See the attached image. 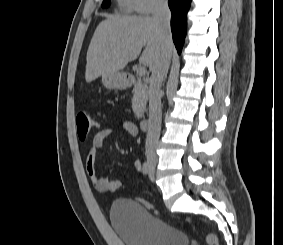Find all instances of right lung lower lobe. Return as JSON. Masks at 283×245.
<instances>
[{
    "label": "right lung lower lobe",
    "mask_w": 283,
    "mask_h": 245,
    "mask_svg": "<svg viewBox=\"0 0 283 245\" xmlns=\"http://www.w3.org/2000/svg\"><path fill=\"white\" fill-rule=\"evenodd\" d=\"M191 0H169L168 5L171 10V30L173 41L178 53H181L187 28V12Z\"/></svg>",
    "instance_id": "1"
}]
</instances>
